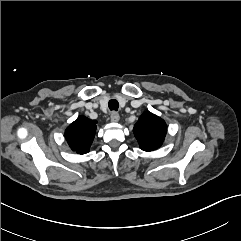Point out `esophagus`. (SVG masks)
I'll return each mask as SVG.
<instances>
[{
  "label": "esophagus",
  "mask_w": 241,
  "mask_h": 241,
  "mask_svg": "<svg viewBox=\"0 0 241 241\" xmlns=\"http://www.w3.org/2000/svg\"><path fill=\"white\" fill-rule=\"evenodd\" d=\"M119 119H120V116H119L118 113L113 112V113L111 114V122L117 123V122L119 121Z\"/></svg>",
  "instance_id": "1"
}]
</instances>
